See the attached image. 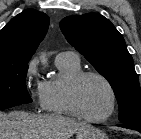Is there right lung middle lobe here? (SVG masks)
<instances>
[{"mask_svg": "<svg viewBox=\"0 0 141 139\" xmlns=\"http://www.w3.org/2000/svg\"><path fill=\"white\" fill-rule=\"evenodd\" d=\"M27 63L0 64V110L32 102L26 88Z\"/></svg>", "mask_w": 141, "mask_h": 139, "instance_id": "right-lung-middle-lobe-1", "label": "right lung middle lobe"}]
</instances>
